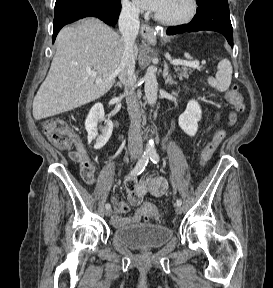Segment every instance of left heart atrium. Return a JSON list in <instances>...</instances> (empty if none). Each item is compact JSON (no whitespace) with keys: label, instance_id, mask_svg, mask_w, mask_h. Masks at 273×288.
Returning a JSON list of instances; mask_svg holds the SVG:
<instances>
[{"label":"left heart atrium","instance_id":"obj_1","mask_svg":"<svg viewBox=\"0 0 273 288\" xmlns=\"http://www.w3.org/2000/svg\"><path fill=\"white\" fill-rule=\"evenodd\" d=\"M164 0H135L136 4L142 9L156 12Z\"/></svg>","mask_w":273,"mask_h":288}]
</instances>
